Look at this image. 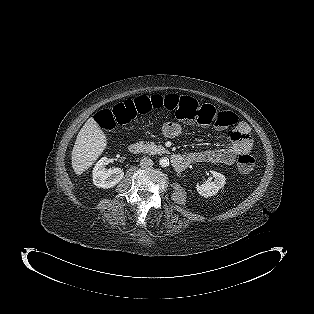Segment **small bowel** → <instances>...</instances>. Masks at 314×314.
Segmentation results:
<instances>
[{
    "label": "small bowel",
    "instance_id": "small-bowel-1",
    "mask_svg": "<svg viewBox=\"0 0 314 314\" xmlns=\"http://www.w3.org/2000/svg\"><path fill=\"white\" fill-rule=\"evenodd\" d=\"M162 133L167 138L178 137L182 126L177 122H167L162 127ZM230 145L220 149H206L189 154L194 158L193 163H214L232 165L237 157L249 153L252 149L250 128L247 123L239 122L229 135Z\"/></svg>",
    "mask_w": 314,
    "mask_h": 314
}]
</instances>
